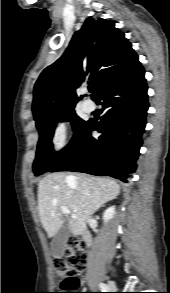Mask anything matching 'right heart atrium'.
<instances>
[{
  "label": "right heart atrium",
  "instance_id": "right-heart-atrium-1",
  "mask_svg": "<svg viewBox=\"0 0 170 293\" xmlns=\"http://www.w3.org/2000/svg\"><path fill=\"white\" fill-rule=\"evenodd\" d=\"M68 125L65 121H59L52 133L51 145L55 151H60L66 144Z\"/></svg>",
  "mask_w": 170,
  "mask_h": 293
}]
</instances>
